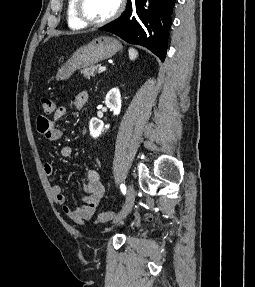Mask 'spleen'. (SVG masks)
Returning a JSON list of instances; mask_svg holds the SVG:
<instances>
[{
  "instance_id": "1",
  "label": "spleen",
  "mask_w": 255,
  "mask_h": 287,
  "mask_svg": "<svg viewBox=\"0 0 255 287\" xmlns=\"http://www.w3.org/2000/svg\"><path fill=\"white\" fill-rule=\"evenodd\" d=\"M137 56H138L137 50H134V48H130V50H129L130 60H135V58H137Z\"/></svg>"
}]
</instances>
